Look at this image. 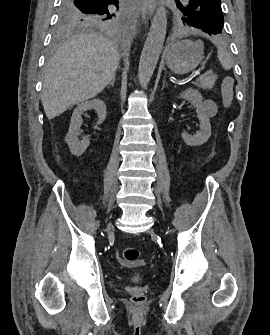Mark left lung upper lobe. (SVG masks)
Segmentation results:
<instances>
[{"label": "left lung upper lobe", "mask_w": 270, "mask_h": 335, "mask_svg": "<svg viewBox=\"0 0 270 335\" xmlns=\"http://www.w3.org/2000/svg\"><path fill=\"white\" fill-rule=\"evenodd\" d=\"M175 1L183 13V22L208 34L222 33L221 0H187L184 5L179 0Z\"/></svg>", "instance_id": "5c2ea615"}]
</instances>
